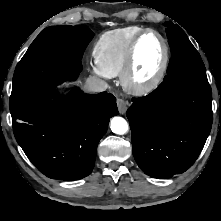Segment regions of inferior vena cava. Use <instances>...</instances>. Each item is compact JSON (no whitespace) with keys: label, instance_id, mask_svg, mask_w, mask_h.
Returning <instances> with one entry per match:
<instances>
[{"label":"inferior vena cava","instance_id":"1","mask_svg":"<svg viewBox=\"0 0 221 221\" xmlns=\"http://www.w3.org/2000/svg\"><path fill=\"white\" fill-rule=\"evenodd\" d=\"M86 85L92 92H102L108 88V84L96 76L87 78Z\"/></svg>","mask_w":221,"mask_h":221}]
</instances>
